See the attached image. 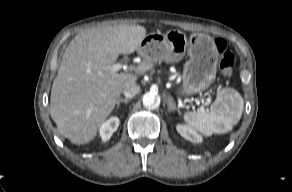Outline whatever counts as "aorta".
<instances>
[{
  "instance_id": "762f6f07",
  "label": "aorta",
  "mask_w": 292,
  "mask_h": 192,
  "mask_svg": "<svg viewBox=\"0 0 292 192\" xmlns=\"http://www.w3.org/2000/svg\"><path fill=\"white\" fill-rule=\"evenodd\" d=\"M160 99L153 92H147L143 95V105L148 109H155L159 106Z\"/></svg>"
}]
</instances>
